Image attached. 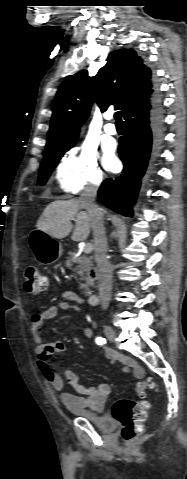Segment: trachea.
I'll return each instance as SVG.
<instances>
[{"label": "trachea", "instance_id": "3493384b", "mask_svg": "<svg viewBox=\"0 0 187 479\" xmlns=\"http://www.w3.org/2000/svg\"><path fill=\"white\" fill-rule=\"evenodd\" d=\"M121 116H122V115H121V112H119V111L114 114V118H115V120H116V124H124V122H123L122 119H121Z\"/></svg>", "mask_w": 187, "mask_h": 479}]
</instances>
